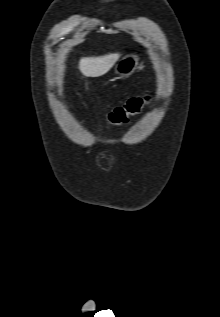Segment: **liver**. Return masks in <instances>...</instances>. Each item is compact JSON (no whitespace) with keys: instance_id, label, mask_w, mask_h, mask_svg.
Instances as JSON below:
<instances>
[{"instance_id":"liver-1","label":"liver","mask_w":220,"mask_h":317,"mask_svg":"<svg viewBox=\"0 0 220 317\" xmlns=\"http://www.w3.org/2000/svg\"><path fill=\"white\" fill-rule=\"evenodd\" d=\"M119 57V53L100 57H84L79 61V70L85 77H100L115 65Z\"/></svg>"}]
</instances>
